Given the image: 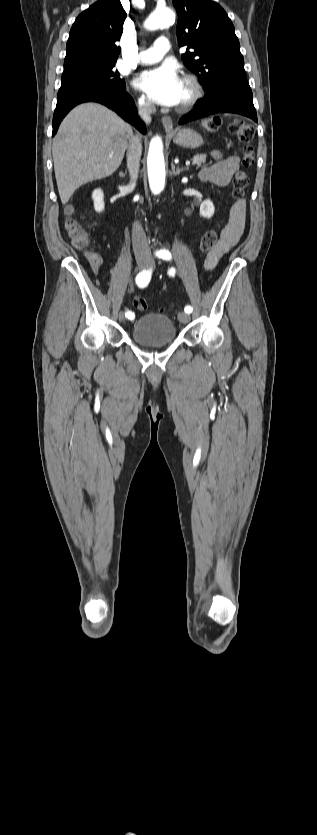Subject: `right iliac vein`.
Returning <instances> with one entry per match:
<instances>
[{"label":"right iliac vein","mask_w":317,"mask_h":835,"mask_svg":"<svg viewBox=\"0 0 317 835\" xmlns=\"http://www.w3.org/2000/svg\"><path fill=\"white\" fill-rule=\"evenodd\" d=\"M137 263L140 268H146L148 266V260L146 258H138ZM118 317L120 321H125L126 319L124 312H120Z\"/></svg>","instance_id":"1"}]
</instances>
